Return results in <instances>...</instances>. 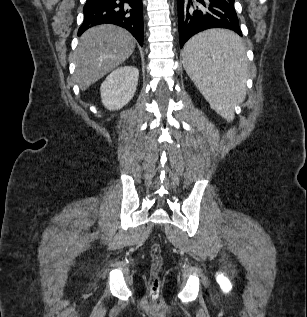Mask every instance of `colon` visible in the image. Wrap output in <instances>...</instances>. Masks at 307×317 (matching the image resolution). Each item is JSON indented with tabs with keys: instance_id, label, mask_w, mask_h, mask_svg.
<instances>
[{
	"instance_id": "1",
	"label": "colon",
	"mask_w": 307,
	"mask_h": 317,
	"mask_svg": "<svg viewBox=\"0 0 307 317\" xmlns=\"http://www.w3.org/2000/svg\"><path fill=\"white\" fill-rule=\"evenodd\" d=\"M151 254L153 257V264L151 267V276H150V292L151 295H158L160 289V279H159V270L161 266V246L159 244H154L151 247Z\"/></svg>"
}]
</instances>
